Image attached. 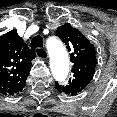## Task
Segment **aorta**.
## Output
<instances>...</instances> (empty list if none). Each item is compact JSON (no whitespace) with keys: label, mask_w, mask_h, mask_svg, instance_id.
I'll list each match as a JSON object with an SVG mask.
<instances>
[{"label":"aorta","mask_w":117,"mask_h":117,"mask_svg":"<svg viewBox=\"0 0 117 117\" xmlns=\"http://www.w3.org/2000/svg\"><path fill=\"white\" fill-rule=\"evenodd\" d=\"M47 49L50 55V67L54 78L62 82L69 72V57L64 45L53 38L47 42Z\"/></svg>","instance_id":"1"}]
</instances>
